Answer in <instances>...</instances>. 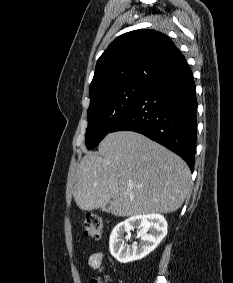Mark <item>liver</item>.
<instances>
[{
    "label": "liver",
    "instance_id": "6515ba94",
    "mask_svg": "<svg viewBox=\"0 0 233 283\" xmlns=\"http://www.w3.org/2000/svg\"><path fill=\"white\" fill-rule=\"evenodd\" d=\"M73 196L82 211L110 204L115 216L171 213L190 189V169L164 146L133 131L109 133L77 169ZM132 185V186H130Z\"/></svg>",
    "mask_w": 233,
    "mask_h": 283
}]
</instances>
